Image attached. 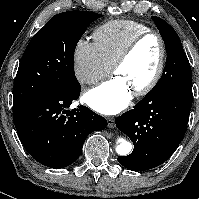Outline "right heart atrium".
Wrapping results in <instances>:
<instances>
[{
	"label": "right heart atrium",
	"mask_w": 199,
	"mask_h": 199,
	"mask_svg": "<svg viewBox=\"0 0 199 199\" xmlns=\"http://www.w3.org/2000/svg\"><path fill=\"white\" fill-rule=\"evenodd\" d=\"M74 74L85 85H93L111 72V66L100 53L95 42L80 39L73 53Z\"/></svg>",
	"instance_id": "right-heart-atrium-1"
}]
</instances>
